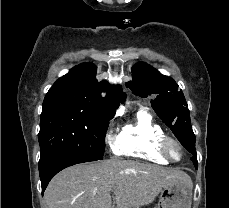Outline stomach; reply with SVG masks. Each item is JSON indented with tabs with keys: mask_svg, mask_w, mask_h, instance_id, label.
Here are the masks:
<instances>
[{
	"mask_svg": "<svg viewBox=\"0 0 229 208\" xmlns=\"http://www.w3.org/2000/svg\"><path fill=\"white\" fill-rule=\"evenodd\" d=\"M192 188L187 184H171L163 188L157 208H191Z\"/></svg>",
	"mask_w": 229,
	"mask_h": 208,
	"instance_id": "stomach-1",
	"label": "stomach"
}]
</instances>
